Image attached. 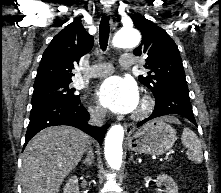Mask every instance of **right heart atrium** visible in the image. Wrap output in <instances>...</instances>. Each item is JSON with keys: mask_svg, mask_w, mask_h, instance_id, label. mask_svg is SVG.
Masks as SVG:
<instances>
[{"mask_svg": "<svg viewBox=\"0 0 221 193\" xmlns=\"http://www.w3.org/2000/svg\"><path fill=\"white\" fill-rule=\"evenodd\" d=\"M88 110L90 115L95 119H102L104 117V110L99 106L90 105Z\"/></svg>", "mask_w": 221, "mask_h": 193, "instance_id": "d8ad5b80", "label": "right heart atrium"}]
</instances>
